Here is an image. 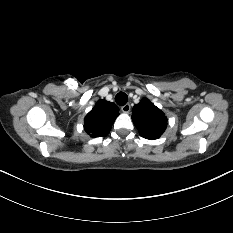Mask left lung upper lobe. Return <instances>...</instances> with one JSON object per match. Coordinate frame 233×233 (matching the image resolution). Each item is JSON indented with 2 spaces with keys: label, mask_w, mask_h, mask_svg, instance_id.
Returning <instances> with one entry per match:
<instances>
[{
  "label": "left lung upper lobe",
  "mask_w": 233,
  "mask_h": 233,
  "mask_svg": "<svg viewBox=\"0 0 233 233\" xmlns=\"http://www.w3.org/2000/svg\"><path fill=\"white\" fill-rule=\"evenodd\" d=\"M132 120L143 138H159L167 127L165 114L148 99L143 98L133 107Z\"/></svg>",
  "instance_id": "obj_1"
}]
</instances>
